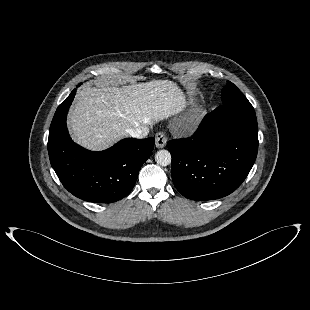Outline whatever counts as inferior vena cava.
Here are the masks:
<instances>
[{
    "label": "inferior vena cava",
    "mask_w": 310,
    "mask_h": 310,
    "mask_svg": "<svg viewBox=\"0 0 310 310\" xmlns=\"http://www.w3.org/2000/svg\"><path fill=\"white\" fill-rule=\"evenodd\" d=\"M126 133L134 138H145L148 134V130H142L141 128H130L126 130Z\"/></svg>",
    "instance_id": "inferior-vena-cava-1"
}]
</instances>
